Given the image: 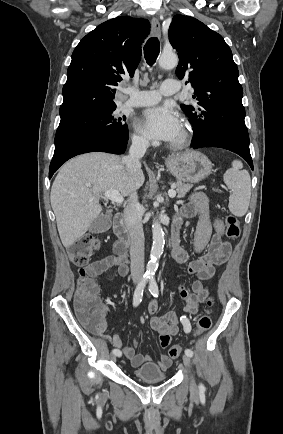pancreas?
<instances>
[{
  "mask_svg": "<svg viewBox=\"0 0 283 434\" xmlns=\"http://www.w3.org/2000/svg\"><path fill=\"white\" fill-rule=\"evenodd\" d=\"M176 186V192L178 194V198H183L193 187L192 184H185L181 181H177L175 183Z\"/></svg>",
  "mask_w": 283,
  "mask_h": 434,
  "instance_id": "cf45deb5",
  "label": "pancreas"
}]
</instances>
